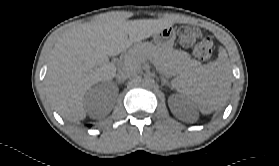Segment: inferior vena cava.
I'll use <instances>...</instances> for the list:
<instances>
[{
  "label": "inferior vena cava",
  "instance_id": "1",
  "mask_svg": "<svg viewBox=\"0 0 279 166\" xmlns=\"http://www.w3.org/2000/svg\"><path fill=\"white\" fill-rule=\"evenodd\" d=\"M135 74H136L135 70L130 69L128 67H123L117 72L116 79L119 82L125 81V80L133 77Z\"/></svg>",
  "mask_w": 279,
  "mask_h": 166
}]
</instances>
